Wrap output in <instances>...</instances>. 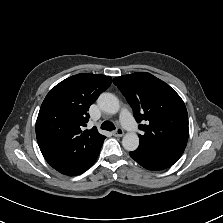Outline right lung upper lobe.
I'll use <instances>...</instances> for the list:
<instances>
[{
  "mask_svg": "<svg viewBox=\"0 0 223 223\" xmlns=\"http://www.w3.org/2000/svg\"><path fill=\"white\" fill-rule=\"evenodd\" d=\"M105 75L77 74L55 87L45 97L36 121V137L46 161L62 174L82 173L99 154L105 136L94 127L82 131L87 111L111 85Z\"/></svg>",
  "mask_w": 223,
  "mask_h": 223,
  "instance_id": "cb5924a9",
  "label": "right lung upper lobe"
}]
</instances>
